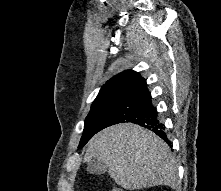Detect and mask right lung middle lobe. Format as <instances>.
<instances>
[{
  "mask_svg": "<svg viewBox=\"0 0 221 191\" xmlns=\"http://www.w3.org/2000/svg\"><path fill=\"white\" fill-rule=\"evenodd\" d=\"M116 102H118V100L91 106V110L85 119L84 131L79 148L83 147L94 134L100 131L103 120Z\"/></svg>",
  "mask_w": 221,
  "mask_h": 191,
  "instance_id": "obj_1",
  "label": "right lung middle lobe"
}]
</instances>
